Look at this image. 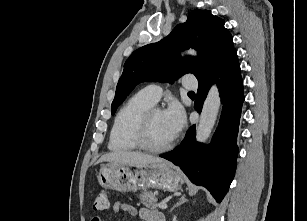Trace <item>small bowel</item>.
Returning a JSON list of instances; mask_svg holds the SVG:
<instances>
[{
	"label": "small bowel",
	"mask_w": 307,
	"mask_h": 221,
	"mask_svg": "<svg viewBox=\"0 0 307 221\" xmlns=\"http://www.w3.org/2000/svg\"><path fill=\"white\" fill-rule=\"evenodd\" d=\"M113 211L115 213L123 212L129 217L139 214L145 221H165L164 216L157 210L148 208L137 210L133 205L128 203H116L113 206ZM91 221H102V219L100 215H95Z\"/></svg>",
	"instance_id": "small-bowel-1"
}]
</instances>
